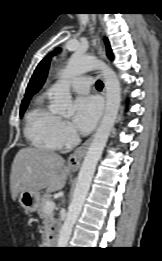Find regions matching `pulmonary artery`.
<instances>
[{
  "mask_svg": "<svg viewBox=\"0 0 162 261\" xmlns=\"http://www.w3.org/2000/svg\"><path fill=\"white\" fill-rule=\"evenodd\" d=\"M93 83V78L87 75H80L75 77L69 82L70 88L72 91L84 94L87 93L89 86Z\"/></svg>",
  "mask_w": 162,
  "mask_h": 261,
  "instance_id": "pulmonary-artery-1",
  "label": "pulmonary artery"
}]
</instances>
